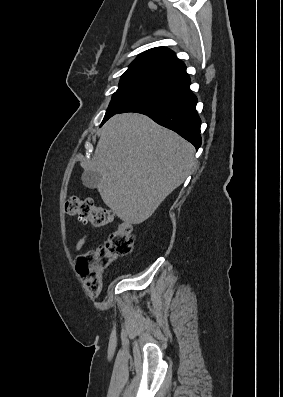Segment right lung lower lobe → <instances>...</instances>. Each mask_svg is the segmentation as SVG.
<instances>
[{"label":"right lung lower lobe","mask_w":283,"mask_h":397,"mask_svg":"<svg viewBox=\"0 0 283 397\" xmlns=\"http://www.w3.org/2000/svg\"><path fill=\"white\" fill-rule=\"evenodd\" d=\"M185 78L125 107L118 113L145 114L156 123L177 132L198 150L201 146V119L196 111L197 98Z\"/></svg>","instance_id":"1"}]
</instances>
